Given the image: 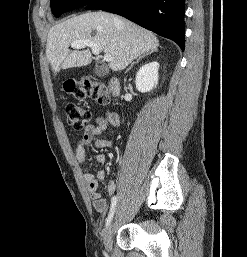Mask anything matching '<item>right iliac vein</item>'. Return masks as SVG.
Segmentation results:
<instances>
[{"mask_svg":"<svg viewBox=\"0 0 247 257\" xmlns=\"http://www.w3.org/2000/svg\"><path fill=\"white\" fill-rule=\"evenodd\" d=\"M112 233H113V223H110L103 235V244L105 247V250L109 252L111 250L112 246Z\"/></svg>","mask_w":247,"mask_h":257,"instance_id":"1","label":"right iliac vein"}]
</instances>
